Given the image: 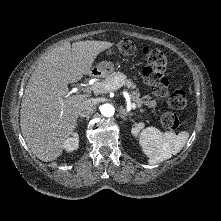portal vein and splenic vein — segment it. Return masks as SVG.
Returning a JSON list of instances; mask_svg holds the SVG:
<instances>
[{
  "instance_id": "portal-vein-and-splenic-vein-1",
  "label": "portal vein and splenic vein",
  "mask_w": 221,
  "mask_h": 221,
  "mask_svg": "<svg viewBox=\"0 0 221 221\" xmlns=\"http://www.w3.org/2000/svg\"><path fill=\"white\" fill-rule=\"evenodd\" d=\"M121 87L117 81H115L113 84H108L104 88H100L99 86H90V87H83L81 88V91L86 92V91H94L98 92L99 90H104V91H112V90H117ZM124 96L128 101V105L130 108L135 109L136 105L135 103H130V97L127 92H124Z\"/></svg>"
}]
</instances>
